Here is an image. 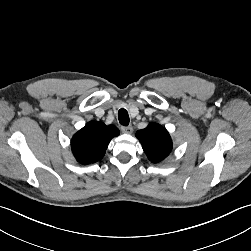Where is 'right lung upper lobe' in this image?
<instances>
[{"mask_svg": "<svg viewBox=\"0 0 251 251\" xmlns=\"http://www.w3.org/2000/svg\"><path fill=\"white\" fill-rule=\"evenodd\" d=\"M119 135L114 125L102 122H89L71 140L72 152L81 164L99 161L105 154L110 140Z\"/></svg>", "mask_w": 251, "mask_h": 251, "instance_id": "obj_1", "label": "right lung upper lobe"}]
</instances>
